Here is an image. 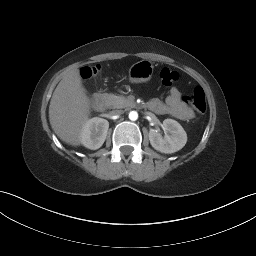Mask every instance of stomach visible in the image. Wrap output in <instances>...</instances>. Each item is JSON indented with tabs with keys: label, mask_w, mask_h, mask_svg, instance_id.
Wrapping results in <instances>:
<instances>
[{
	"label": "stomach",
	"mask_w": 256,
	"mask_h": 256,
	"mask_svg": "<svg viewBox=\"0 0 256 256\" xmlns=\"http://www.w3.org/2000/svg\"><path fill=\"white\" fill-rule=\"evenodd\" d=\"M154 66L148 60L134 63L129 69V80L132 83L147 82L153 75Z\"/></svg>",
	"instance_id": "obj_1"
}]
</instances>
